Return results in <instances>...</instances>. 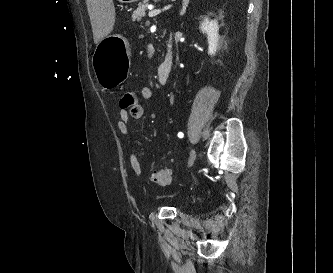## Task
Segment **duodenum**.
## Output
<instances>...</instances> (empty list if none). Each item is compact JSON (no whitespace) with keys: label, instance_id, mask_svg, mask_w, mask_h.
Wrapping results in <instances>:
<instances>
[{"label":"duodenum","instance_id":"obj_1","mask_svg":"<svg viewBox=\"0 0 333 273\" xmlns=\"http://www.w3.org/2000/svg\"><path fill=\"white\" fill-rule=\"evenodd\" d=\"M173 56L171 51V44L167 46V52L164 60L157 68V78L160 84H167L172 73Z\"/></svg>","mask_w":333,"mask_h":273}]
</instances>
